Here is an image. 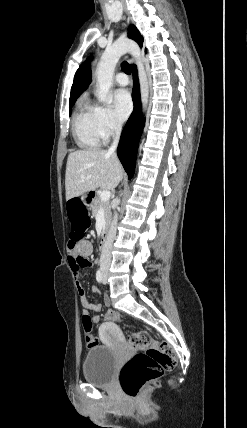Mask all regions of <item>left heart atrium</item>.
<instances>
[{"label":"left heart atrium","mask_w":247,"mask_h":428,"mask_svg":"<svg viewBox=\"0 0 247 428\" xmlns=\"http://www.w3.org/2000/svg\"><path fill=\"white\" fill-rule=\"evenodd\" d=\"M113 107L115 116L124 121L132 111V100L126 90H117L113 95Z\"/></svg>","instance_id":"obj_1"}]
</instances>
